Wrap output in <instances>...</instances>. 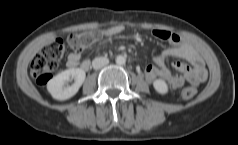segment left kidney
<instances>
[{"label":"left kidney","instance_id":"obj_1","mask_svg":"<svg viewBox=\"0 0 238 145\" xmlns=\"http://www.w3.org/2000/svg\"><path fill=\"white\" fill-rule=\"evenodd\" d=\"M153 86L158 93L166 94L168 92V86L162 79H157L153 82Z\"/></svg>","mask_w":238,"mask_h":145}]
</instances>
